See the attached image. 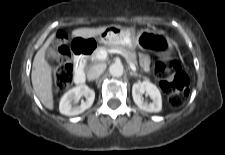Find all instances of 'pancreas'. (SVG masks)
<instances>
[{
	"label": "pancreas",
	"instance_id": "obj_1",
	"mask_svg": "<svg viewBox=\"0 0 225 155\" xmlns=\"http://www.w3.org/2000/svg\"><path fill=\"white\" fill-rule=\"evenodd\" d=\"M110 49H118L120 50L121 52H123L128 58L129 60L134 64V65H137V54L135 51L123 46V45H120V44H110V45H107V46H100L98 47L94 53L89 57L92 61H96L97 58H96V55L99 51L101 50H110Z\"/></svg>",
	"mask_w": 225,
	"mask_h": 155
}]
</instances>
